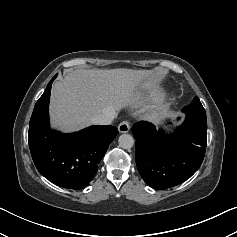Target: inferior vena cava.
<instances>
[{
    "mask_svg": "<svg viewBox=\"0 0 237 237\" xmlns=\"http://www.w3.org/2000/svg\"><path fill=\"white\" fill-rule=\"evenodd\" d=\"M117 113L112 110L105 114H100L92 119V123L95 125H110L115 119Z\"/></svg>",
    "mask_w": 237,
    "mask_h": 237,
    "instance_id": "inferior-vena-cava-1",
    "label": "inferior vena cava"
}]
</instances>
